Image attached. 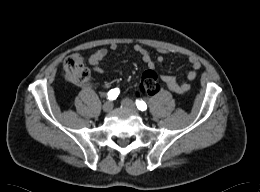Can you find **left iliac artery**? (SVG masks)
<instances>
[{
    "label": "left iliac artery",
    "mask_w": 260,
    "mask_h": 192,
    "mask_svg": "<svg viewBox=\"0 0 260 192\" xmlns=\"http://www.w3.org/2000/svg\"><path fill=\"white\" fill-rule=\"evenodd\" d=\"M137 107H138V109H140V110H145V109H146V104H145L144 101H138V102H137Z\"/></svg>",
    "instance_id": "1"
}]
</instances>
